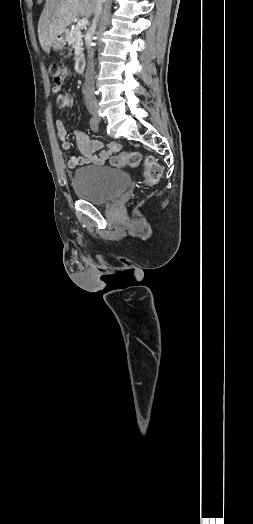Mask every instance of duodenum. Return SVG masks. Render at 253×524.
<instances>
[{
  "mask_svg": "<svg viewBox=\"0 0 253 524\" xmlns=\"http://www.w3.org/2000/svg\"><path fill=\"white\" fill-rule=\"evenodd\" d=\"M75 70L77 73L82 74L84 72V61L82 58H78L75 61Z\"/></svg>",
  "mask_w": 253,
  "mask_h": 524,
  "instance_id": "obj_1",
  "label": "duodenum"
}]
</instances>
